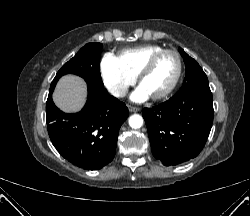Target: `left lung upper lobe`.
<instances>
[{
	"label": "left lung upper lobe",
	"instance_id": "left-lung-upper-lobe-1",
	"mask_svg": "<svg viewBox=\"0 0 250 216\" xmlns=\"http://www.w3.org/2000/svg\"><path fill=\"white\" fill-rule=\"evenodd\" d=\"M179 52L186 65V76L179 91L170 99H181L192 95L212 96L207 76L202 68L182 48H179Z\"/></svg>",
	"mask_w": 250,
	"mask_h": 216
}]
</instances>
